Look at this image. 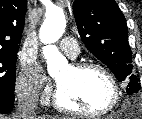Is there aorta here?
Masks as SVG:
<instances>
[{"instance_id":"762f6f07","label":"aorta","mask_w":142,"mask_h":119,"mask_svg":"<svg viewBox=\"0 0 142 119\" xmlns=\"http://www.w3.org/2000/svg\"><path fill=\"white\" fill-rule=\"evenodd\" d=\"M66 27L65 14L62 8L53 7L46 11V18L41 25L39 38L43 47V55L47 60V69L50 75L56 74L59 69L67 66L66 58L59 52L54 43L63 35Z\"/></svg>"}]
</instances>
